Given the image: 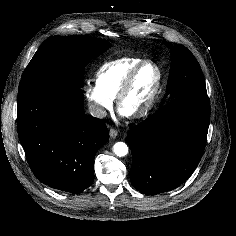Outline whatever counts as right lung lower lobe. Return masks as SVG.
<instances>
[{"mask_svg": "<svg viewBox=\"0 0 236 236\" xmlns=\"http://www.w3.org/2000/svg\"><path fill=\"white\" fill-rule=\"evenodd\" d=\"M17 101L19 139L38 180L73 194L90 186L95 154L109 133L100 119L84 114L82 91L35 85L19 91Z\"/></svg>", "mask_w": 236, "mask_h": 236, "instance_id": "1", "label": "right lung lower lobe"}]
</instances>
